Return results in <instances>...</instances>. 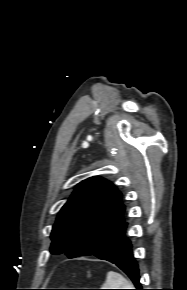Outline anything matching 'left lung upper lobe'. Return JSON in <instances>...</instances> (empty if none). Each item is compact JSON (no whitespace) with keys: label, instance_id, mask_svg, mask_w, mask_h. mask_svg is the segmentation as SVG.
Returning <instances> with one entry per match:
<instances>
[{"label":"left lung upper lobe","instance_id":"obj_1","mask_svg":"<svg viewBox=\"0 0 187 290\" xmlns=\"http://www.w3.org/2000/svg\"><path fill=\"white\" fill-rule=\"evenodd\" d=\"M124 210L121 193L110 182L97 176L82 181L58 214L51 253L92 255L124 221Z\"/></svg>","mask_w":187,"mask_h":290}]
</instances>
